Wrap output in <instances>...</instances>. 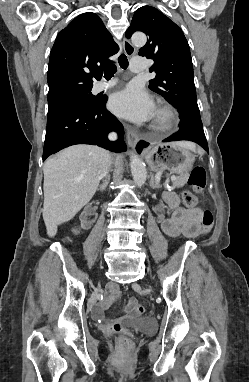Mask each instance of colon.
Listing matches in <instances>:
<instances>
[{
    "instance_id": "obj_1",
    "label": "colon",
    "mask_w": 249,
    "mask_h": 382,
    "mask_svg": "<svg viewBox=\"0 0 249 382\" xmlns=\"http://www.w3.org/2000/svg\"><path fill=\"white\" fill-rule=\"evenodd\" d=\"M207 182V175L206 171L203 167L196 166L194 167L189 175L188 183L193 188L194 192H200L202 191ZM183 203L186 207L192 208L195 207L197 204V198L196 196L189 192L185 191L182 196ZM214 218L213 214L209 210H204L203 216H202V231L203 233H208L213 226ZM133 312L137 315H143L145 313L144 306L140 304H136L133 307ZM118 344L120 346L121 354L124 353H130L132 349V342L127 336H119L118 337Z\"/></svg>"
}]
</instances>
